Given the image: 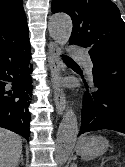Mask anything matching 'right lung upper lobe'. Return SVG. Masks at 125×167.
Returning a JSON list of instances; mask_svg holds the SVG:
<instances>
[{
    "mask_svg": "<svg viewBox=\"0 0 125 167\" xmlns=\"http://www.w3.org/2000/svg\"><path fill=\"white\" fill-rule=\"evenodd\" d=\"M26 22L22 0H0V49L28 39Z\"/></svg>",
    "mask_w": 125,
    "mask_h": 167,
    "instance_id": "cb5924a9",
    "label": "right lung upper lobe"
}]
</instances>
